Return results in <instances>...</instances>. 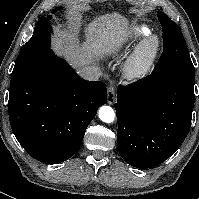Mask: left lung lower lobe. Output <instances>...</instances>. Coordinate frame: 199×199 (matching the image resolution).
I'll return each mask as SVG.
<instances>
[{"label":"left lung lower lobe","instance_id":"0a47b994","mask_svg":"<svg viewBox=\"0 0 199 199\" xmlns=\"http://www.w3.org/2000/svg\"><path fill=\"white\" fill-rule=\"evenodd\" d=\"M195 74H152L117 92L119 153L130 165L145 169L168 159L183 143L194 106Z\"/></svg>","mask_w":199,"mask_h":199}]
</instances>
